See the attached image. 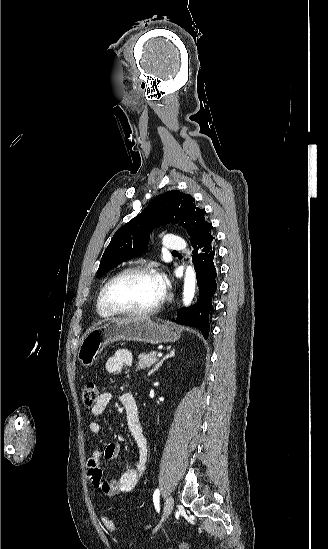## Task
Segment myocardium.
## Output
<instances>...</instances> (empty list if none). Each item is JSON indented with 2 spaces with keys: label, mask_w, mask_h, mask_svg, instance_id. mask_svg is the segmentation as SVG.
<instances>
[{
  "label": "myocardium",
  "mask_w": 328,
  "mask_h": 549,
  "mask_svg": "<svg viewBox=\"0 0 328 549\" xmlns=\"http://www.w3.org/2000/svg\"><path fill=\"white\" fill-rule=\"evenodd\" d=\"M157 267L164 268L165 266L155 260H147L135 262L123 267L119 272H117L102 288L101 291V300L103 303L104 311L111 317H124V316H149L155 314L162 306L166 293L164 292L162 296L157 300L151 307L145 309H125L118 310L111 306L109 300V291L111 287L122 277L132 272H151L158 275V271L155 269Z\"/></svg>",
  "instance_id": "obj_1"
}]
</instances>
